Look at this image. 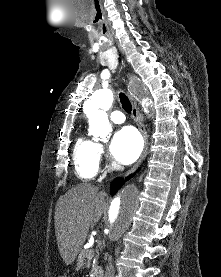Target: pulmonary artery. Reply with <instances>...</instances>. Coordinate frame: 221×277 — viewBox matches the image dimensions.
I'll return each mask as SVG.
<instances>
[{
    "label": "pulmonary artery",
    "mask_w": 221,
    "mask_h": 277,
    "mask_svg": "<svg viewBox=\"0 0 221 277\" xmlns=\"http://www.w3.org/2000/svg\"><path fill=\"white\" fill-rule=\"evenodd\" d=\"M110 119L116 124H121L125 121V116L121 111L115 110L110 114Z\"/></svg>",
    "instance_id": "e3ab8cb5"
}]
</instances>
